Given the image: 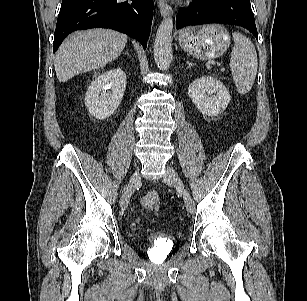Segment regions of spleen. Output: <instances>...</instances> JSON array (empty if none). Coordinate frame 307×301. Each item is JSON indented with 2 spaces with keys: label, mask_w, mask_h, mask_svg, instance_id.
<instances>
[{
  "label": "spleen",
  "mask_w": 307,
  "mask_h": 301,
  "mask_svg": "<svg viewBox=\"0 0 307 301\" xmlns=\"http://www.w3.org/2000/svg\"><path fill=\"white\" fill-rule=\"evenodd\" d=\"M232 36L234 47L229 65L237 91L246 94L251 90L257 74V53L248 37L239 32H234Z\"/></svg>",
  "instance_id": "spleen-1"
}]
</instances>
